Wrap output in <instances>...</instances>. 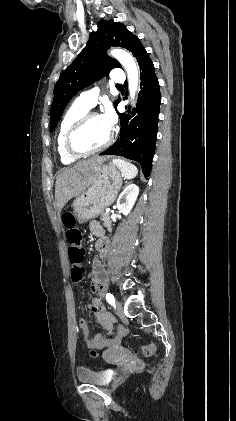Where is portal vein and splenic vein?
<instances>
[{"instance_id": "1", "label": "portal vein and splenic vein", "mask_w": 236, "mask_h": 421, "mask_svg": "<svg viewBox=\"0 0 236 421\" xmlns=\"http://www.w3.org/2000/svg\"><path fill=\"white\" fill-rule=\"evenodd\" d=\"M106 211H110V208H106Z\"/></svg>"}]
</instances>
